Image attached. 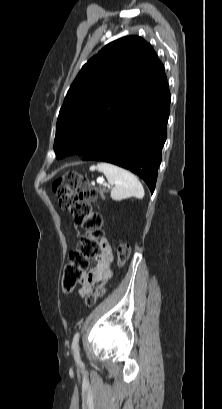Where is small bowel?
Masks as SVG:
<instances>
[{
  "mask_svg": "<svg viewBox=\"0 0 222 409\" xmlns=\"http://www.w3.org/2000/svg\"><path fill=\"white\" fill-rule=\"evenodd\" d=\"M101 255L96 263L88 272L82 273L81 287L78 294L81 297H87L93 293L96 287H103L113 278L111 264L114 260L112 246L106 238L100 241Z\"/></svg>",
  "mask_w": 222,
  "mask_h": 409,
  "instance_id": "small-bowel-1",
  "label": "small bowel"
}]
</instances>
